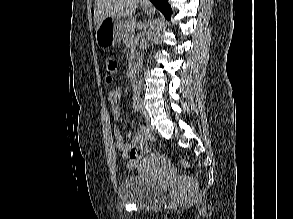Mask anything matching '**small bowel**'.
<instances>
[{
    "label": "small bowel",
    "mask_w": 293,
    "mask_h": 219,
    "mask_svg": "<svg viewBox=\"0 0 293 219\" xmlns=\"http://www.w3.org/2000/svg\"><path fill=\"white\" fill-rule=\"evenodd\" d=\"M122 96V92L119 88L113 89L109 92V101L111 103V111L115 120H119L121 115V107H120V99ZM147 129L145 127H140L139 131H137L132 139L129 142H125L123 140V135L119 126H115L113 128V135L116 142V147L120 151V153L127 157L129 151L138 146L143 140V134Z\"/></svg>",
    "instance_id": "small-bowel-1"
}]
</instances>
